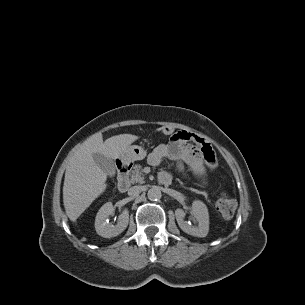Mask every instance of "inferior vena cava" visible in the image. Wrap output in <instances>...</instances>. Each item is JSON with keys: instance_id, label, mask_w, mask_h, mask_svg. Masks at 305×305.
Wrapping results in <instances>:
<instances>
[{"instance_id": "1", "label": "inferior vena cava", "mask_w": 305, "mask_h": 305, "mask_svg": "<svg viewBox=\"0 0 305 305\" xmlns=\"http://www.w3.org/2000/svg\"><path fill=\"white\" fill-rule=\"evenodd\" d=\"M141 186H133L128 190V195H137L141 192Z\"/></svg>"}]
</instances>
